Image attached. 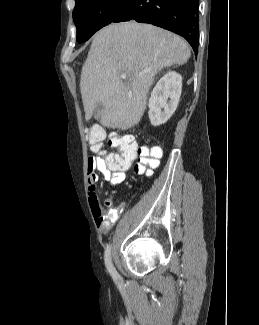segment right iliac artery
<instances>
[{"label":"right iliac artery","instance_id":"1","mask_svg":"<svg viewBox=\"0 0 259 325\" xmlns=\"http://www.w3.org/2000/svg\"><path fill=\"white\" fill-rule=\"evenodd\" d=\"M104 260L107 270L109 271L110 275L113 277L114 280L118 278L117 271L115 270L112 259H111V245H107L105 254H104Z\"/></svg>","mask_w":259,"mask_h":325}]
</instances>
